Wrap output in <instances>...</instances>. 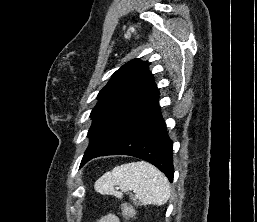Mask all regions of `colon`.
I'll use <instances>...</instances> for the list:
<instances>
[{"label":"colon","instance_id":"obj_1","mask_svg":"<svg viewBox=\"0 0 257 222\" xmlns=\"http://www.w3.org/2000/svg\"><path fill=\"white\" fill-rule=\"evenodd\" d=\"M121 211L125 219H129L132 216V210L127 205H123Z\"/></svg>","mask_w":257,"mask_h":222}]
</instances>
